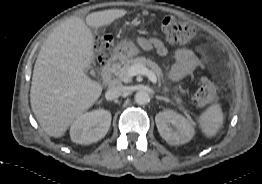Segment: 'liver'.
<instances>
[{"instance_id": "liver-1", "label": "liver", "mask_w": 262, "mask_h": 184, "mask_svg": "<svg viewBox=\"0 0 262 184\" xmlns=\"http://www.w3.org/2000/svg\"><path fill=\"white\" fill-rule=\"evenodd\" d=\"M125 14L122 9L93 12L86 16V23L70 17L43 43L33 70L30 102L49 136L62 137L102 93V86L85 74L94 61V38L88 26L103 27Z\"/></svg>"}]
</instances>
